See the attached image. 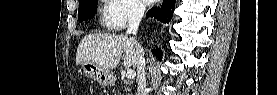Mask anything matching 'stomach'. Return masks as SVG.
<instances>
[{
	"mask_svg": "<svg viewBox=\"0 0 277 95\" xmlns=\"http://www.w3.org/2000/svg\"><path fill=\"white\" fill-rule=\"evenodd\" d=\"M84 74L97 81L103 86H111L114 84V76L111 71L105 70L97 64L89 61L81 63Z\"/></svg>",
	"mask_w": 277,
	"mask_h": 95,
	"instance_id": "obj_1",
	"label": "stomach"
}]
</instances>
